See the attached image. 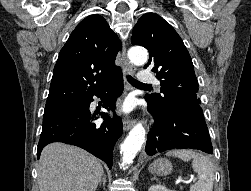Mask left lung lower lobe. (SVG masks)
<instances>
[{
	"label": "left lung lower lobe",
	"mask_w": 251,
	"mask_h": 191,
	"mask_svg": "<svg viewBox=\"0 0 251 191\" xmlns=\"http://www.w3.org/2000/svg\"><path fill=\"white\" fill-rule=\"evenodd\" d=\"M147 103L148 110L155 119L145 147L148 155L152 156L170 149L187 148L213 153L200 104H181L161 113L148 100Z\"/></svg>",
	"instance_id": "1"
}]
</instances>
